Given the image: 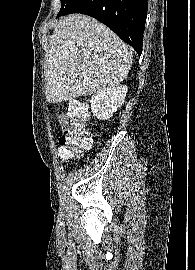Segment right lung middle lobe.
Masks as SVG:
<instances>
[{
  "instance_id": "dd1d6c3e",
  "label": "right lung middle lobe",
  "mask_w": 195,
  "mask_h": 270,
  "mask_svg": "<svg viewBox=\"0 0 195 270\" xmlns=\"http://www.w3.org/2000/svg\"><path fill=\"white\" fill-rule=\"evenodd\" d=\"M76 0H61V9L59 14L65 13Z\"/></svg>"
}]
</instances>
